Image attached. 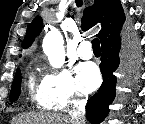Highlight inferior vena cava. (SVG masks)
Instances as JSON below:
<instances>
[{
    "mask_svg": "<svg viewBox=\"0 0 145 124\" xmlns=\"http://www.w3.org/2000/svg\"><path fill=\"white\" fill-rule=\"evenodd\" d=\"M86 100H78L74 102V109L70 113L73 124H85V106Z\"/></svg>",
    "mask_w": 145,
    "mask_h": 124,
    "instance_id": "obj_1",
    "label": "inferior vena cava"
}]
</instances>
